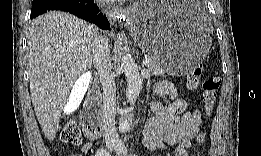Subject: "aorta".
Instances as JSON below:
<instances>
[{
	"label": "aorta",
	"instance_id": "aorta-1",
	"mask_svg": "<svg viewBox=\"0 0 261 156\" xmlns=\"http://www.w3.org/2000/svg\"><path fill=\"white\" fill-rule=\"evenodd\" d=\"M121 69L125 73L127 80L126 97L129 102H135L140 95L143 87V79L140 75L139 68L135 63L132 56L128 53L121 54ZM78 90H75V96ZM79 97V95H78ZM119 128L122 132H126L129 129V123L126 119H121Z\"/></svg>",
	"mask_w": 261,
	"mask_h": 156
}]
</instances>
